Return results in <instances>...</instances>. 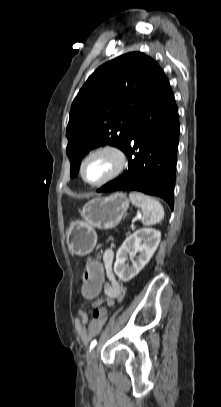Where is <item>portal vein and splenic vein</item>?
Listing matches in <instances>:
<instances>
[{"label": "portal vein and splenic vein", "instance_id": "obj_1", "mask_svg": "<svg viewBox=\"0 0 221 407\" xmlns=\"http://www.w3.org/2000/svg\"><path fill=\"white\" fill-rule=\"evenodd\" d=\"M130 227L133 228V224H131Z\"/></svg>", "mask_w": 221, "mask_h": 407}]
</instances>
